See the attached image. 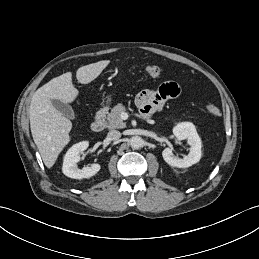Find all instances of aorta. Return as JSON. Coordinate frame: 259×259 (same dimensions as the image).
<instances>
[{
  "label": "aorta",
  "mask_w": 259,
  "mask_h": 259,
  "mask_svg": "<svg viewBox=\"0 0 259 259\" xmlns=\"http://www.w3.org/2000/svg\"><path fill=\"white\" fill-rule=\"evenodd\" d=\"M129 143L133 149H139L143 147L144 140L140 136H133L130 138Z\"/></svg>",
  "instance_id": "762f6f07"
}]
</instances>
